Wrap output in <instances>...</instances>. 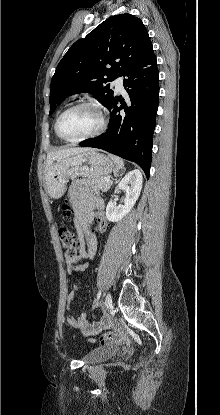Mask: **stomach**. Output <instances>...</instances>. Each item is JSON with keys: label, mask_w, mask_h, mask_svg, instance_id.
Here are the masks:
<instances>
[{"label": "stomach", "mask_w": 220, "mask_h": 415, "mask_svg": "<svg viewBox=\"0 0 220 415\" xmlns=\"http://www.w3.org/2000/svg\"><path fill=\"white\" fill-rule=\"evenodd\" d=\"M117 172L112 160L95 150H88L65 157L51 165L46 172V188L52 198H60L66 192L68 179L83 176L91 179Z\"/></svg>", "instance_id": "0dacf381"}]
</instances>
